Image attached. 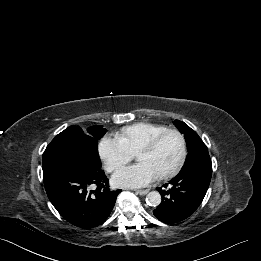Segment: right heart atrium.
Returning <instances> with one entry per match:
<instances>
[{"label":"right heart atrium","mask_w":261,"mask_h":261,"mask_svg":"<svg viewBox=\"0 0 261 261\" xmlns=\"http://www.w3.org/2000/svg\"><path fill=\"white\" fill-rule=\"evenodd\" d=\"M98 154L108 172L120 169L130 158V153L116 137L103 136L98 143Z\"/></svg>","instance_id":"d8ad5b80"}]
</instances>
